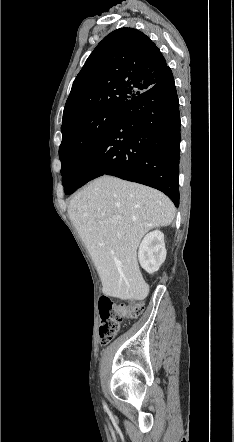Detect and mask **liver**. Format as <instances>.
Here are the masks:
<instances>
[{"label": "liver", "mask_w": 234, "mask_h": 442, "mask_svg": "<svg viewBox=\"0 0 234 442\" xmlns=\"http://www.w3.org/2000/svg\"><path fill=\"white\" fill-rule=\"evenodd\" d=\"M89 250L105 295L143 300L149 293L137 261L142 237L173 222L175 207L162 192L112 176L95 179L68 207Z\"/></svg>", "instance_id": "liver-1"}]
</instances>
